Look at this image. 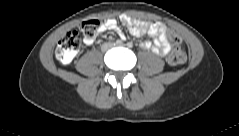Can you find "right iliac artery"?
<instances>
[{
  "instance_id": "1",
  "label": "right iliac artery",
  "mask_w": 239,
  "mask_h": 136,
  "mask_svg": "<svg viewBox=\"0 0 239 136\" xmlns=\"http://www.w3.org/2000/svg\"><path fill=\"white\" fill-rule=\"evenodd\" d=\"M116 44H117V45H121V44H122V41H121V40H117V41H116Z\"/></svg>"
}]
</instances>
